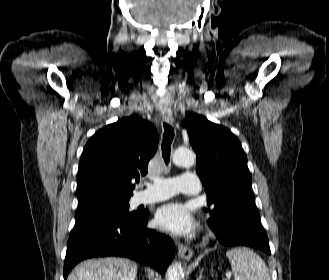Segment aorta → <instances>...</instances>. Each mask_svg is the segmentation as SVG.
Returning a JSON list of instances; mask_svg holds the SVG:
<instances>
[{
    "label": "aorta",
    "instance_id": "1",
    "mask_svg": "<svg viewBox=\"0 0 329 280\" xmlns=\"http://www.w3.org/2000/svg\"><path fill=\"white\" fill-rule=\"evenodd\" d=\"M172 159L175 165L189 167L194 164L195 155L189 149L178 148L175 150ZM183 275L184 270L181 263L175 262L168 267L166 271V280H181Z\"/></svg>",
    "mask_w": 329,
    "mask_h": 280
}]
</instances>
